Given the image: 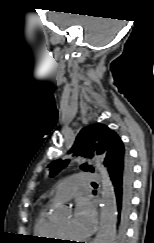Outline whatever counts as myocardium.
<instances>
[{"mask_svg":"<svg viewBox=\"0 0 154 243\" xmlns=\"http://www.w3.org/2000/svg\"><path fill=\"white\" fill-rule=\"evenodd\" d=\"M56 231H57L58 237L61 240H66L68 238V236L60 229V227L58 225H56Z\"/></svg>","mask_w":154,"mask_h":243,"instance_id":"f54148a6","label":"myocardium"}]
</instances>
